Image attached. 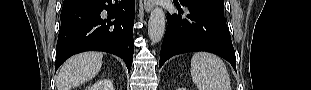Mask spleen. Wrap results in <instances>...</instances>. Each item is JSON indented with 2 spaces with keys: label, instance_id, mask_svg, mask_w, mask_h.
<instances>
[{
  "label": "spleen",
  "instance_id": "3e777b00",
  "mask_svg": "<svg viewBox=\"0 0 311 90\" xmlns=\"http://www.w3.org/2000/svg\"><path fill=\"white\" fill-rule=\"evenodd\" d=\"M191 76L199 90H231L227 68L214 54L195 53L191 59Z\"/></svg>",
  "mask_w": 311,
  "mask_h": 90
}]
</instances>
